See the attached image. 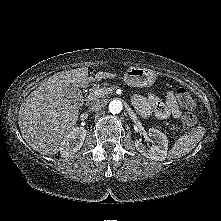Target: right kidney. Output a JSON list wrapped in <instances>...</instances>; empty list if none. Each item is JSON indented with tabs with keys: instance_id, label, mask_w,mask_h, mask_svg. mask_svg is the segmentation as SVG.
I'll return each mask as SVG.
<instances>
[{
	"instance_id": "1",
	"label": "right kidney",
	"mask_w": 221,
	"mask_h": 221,
	"mask_svg": "<svg viewBox=\"0 0 221 221\" xmlns=\"http://www.w3.org/2000/svg\"><path fill=\"white\" fill-rule=\"evenodd\" d=\"M86 137V130L82 127L74 128L61 142L59 151L62 157H72L82 147Z\"/></svg>"
}]
</instances>
